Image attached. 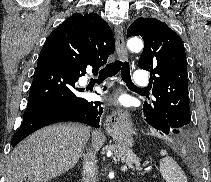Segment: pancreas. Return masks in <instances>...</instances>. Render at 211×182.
<instances>
[{"mask_svg": "<svg viewBox=\"0 0 211 182\" xmlns=\"http://www.w3.org/2000/svg\"><path fill=\"white\" fill-rule=\"evenodd\" d=\"M108 150L112 151V157L115 162L122 161L131 168L136 167L137 170H142L140 167V159L132 150L119 145H112L108 147Z\"/></svg>", "mask_w": 211, "mask_h": 182, "instance_id": "1", "label": "pancreas"}]
</instances>
